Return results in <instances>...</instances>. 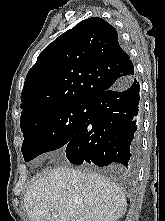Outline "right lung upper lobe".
Listing matches in <instances>:
<instances>
[{"label":"right lung upper lobe","instance_id":"right-lung-upper-lobe-1","mask_svg":"<svg viewBox=\"0 0 165 221\" xmlns=\"http://www.w3.org/2000/svg\"><path fill=\"white\" fill-rule=\"evenodd\" d=\"M134 73L115 28L99 17L83 20L51 42L29 70L20 122L53 108L90 103Z\"/></svg>","mask_w":165,"mask_h":221}]
</instances>
